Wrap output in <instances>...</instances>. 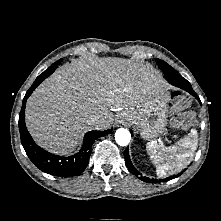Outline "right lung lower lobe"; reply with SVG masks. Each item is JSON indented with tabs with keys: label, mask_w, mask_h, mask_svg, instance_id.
Returning <instances> with one entry per match:
<instances>
[{
	"label": "right lung lower lobe",
	"mask_w": 221,
	"mask_h": 221,
	"mask_svg": "<svg viewBox=\"0 0 221 221\" xmlns=\"http://www.w3.org/2000/svg\"><path fill=\"white\" fill-rule=\"evenodd\" d=\"M57 67L47 69L40 74L23 99L22 108L19 114V131L21 143L26 151V154L33 162V164L40 170L54 175V176H76L84 171L86 168L91 153V146L93 142L102 136L109 134L112 129L105 131H89L85 134L84 142L81 150L70 157H60L51 154L39 147L33 141L25 125V105L27 98L32 94L35 88L49 75H51Z\"/></svg>",
	"instance_id": "98d812e1"
}]
</instances>
